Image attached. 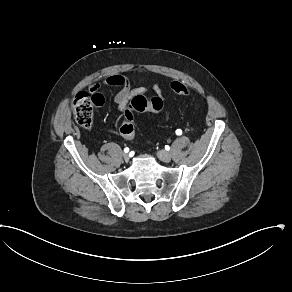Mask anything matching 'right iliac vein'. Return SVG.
Listing matches in <instances>:
<instances>
[{"label":"right iliac vein","mask_w":292,"mask_h":292,"mask_svg":"<svg viewBox=\"0 0 292 292\" xmlns=\"http://www.w3.org/2000/svg\"><path fill=\"white\" fill-rule=\"evenodd\" d=\"M123 159L125 160V161H128L129 160V154L128 153H123Z\"/></svg>","instance_id":"obj_1"}]
</instances>
